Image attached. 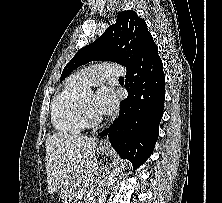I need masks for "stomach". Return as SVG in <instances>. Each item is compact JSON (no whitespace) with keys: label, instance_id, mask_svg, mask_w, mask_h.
<instances>
[{"label":"stomach","instance_id":"obj_1","mask_svg":"<svg viewBox=\"0 0 222 203\" xmlns=\"http://www.w3.org/2000/svg\"><path fill=\"white\" fill-rule=\"evenodd\" d=\"M101 152H105L107 149L103 147H99ZM77 182L74 181L71 182L69 185H67L65 188H63L61 192V196L65 200H71L75 196V192L77 191Z\"/></svg>","mask_w":222,"mask_h":203}]
</instances>
